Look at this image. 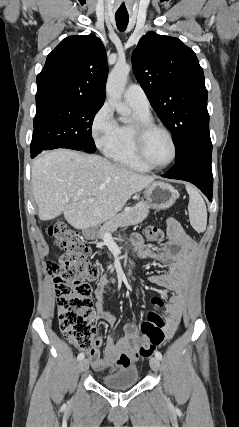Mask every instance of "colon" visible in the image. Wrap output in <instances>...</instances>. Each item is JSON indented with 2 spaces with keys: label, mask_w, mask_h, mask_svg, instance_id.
Here are the masks:
<instances>
[{
  "label": "colon",
  "mask_w": 239,
  "mask_h": 427,
  "mask_svg": "<svg viewBox=\"0 0 239 427\" xmlns=\"http://www.w3.org/2000/svg\"><path fill=\"white\" fill-rule=\"evenodd\" d=\"M48 234L62 250L58 263H46L48 274L54 278L60 329L74 346L89 351L94 345L96 324L91 284L100 276L99 266L89 262V246L66 224L51 225ZM146 238L152 242L160 241L163 232L157 227H148ZM149 303L163 305L164 297L152 293ZM160 312L159 306L152 307L141 325L139 355L142 357L150 356L153 349L164 341L166 323Z\"/></svg>",
  "instance_id": "colon-1"
}]
</instances>
